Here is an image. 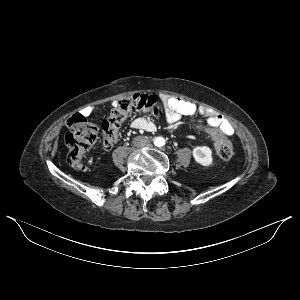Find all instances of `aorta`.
<instances>
[{"mask_svg": "<svg viewBox=\"0 0 300 300\" xmlns=\"http://www.w3.org/2000/svg\"><path fill=\"white\" fill-rule=\"evenodd\" d=\"M166 141L163 137H156L154 139V145L157 147H163L165 145Z\"/></svg>", "mask_w": 300, "mask_h": 300, "instance_id": "obj_1", "label": "aorta"}]
</instances>
